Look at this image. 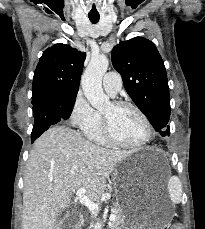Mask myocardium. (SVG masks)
Segmentation results:
<instances>
[{
	"label": "myocardium",
	"instance_id": "f54148a6",
	"mask_svg": "<svg viewBox=\"0 0 205 229\" xmlns=\"http://www.w3.org/2000/svg\"><path fill=\"white\" fill-rule=\"evenodd\" d=\"M112 105L116 108L120 107H130L132 108L142 119L146 133L144 138L137 142V143H124L120 141L119 139L116 138L113 132L112 124L110 119L105 115H102V125H103V132L106 140L108 141L109 144L120 147V148H126V149H137L145 146L151 139L152 137V126L150 123V120L148 119L147 115L134 103L126 100H115L111 102Z\"/></svg>",
	"mask_w": 205,
	"mask_h": 229
}]
</instances>
